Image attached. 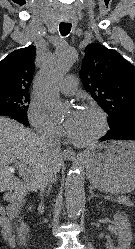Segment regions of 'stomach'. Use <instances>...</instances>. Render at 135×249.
<instances>
[{"mask_svg": "<svg viewBox=\"0 0 135 249\" xmlns=\"http://www.w3.org/2000/svg\"><path fill=\"white\" fill-rule=\"evenodd\" d=\"M92 185L117 194L135 190V142L109 141L92 147L82 161Z\"/></svg>", "mask_w": 135, "mask_h": 249, "instance_id": "0dacf381", "label": "stomach"}]
</instances>
